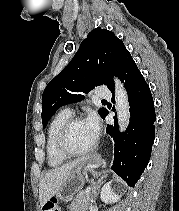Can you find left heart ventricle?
I'll list each match as a JSON object with an SVG mask.
<instances>
[{"instance_id": "1", "label": "left heart ventricle", "mask_w": 179, "mask_h": 211, "mask_svg": "<svg viewBox=\"0 0 179 211\" xmlns=\"http://www.w3.org/2000/svg\"><path fill=\"white\" fill-rule=\"evenodd\" d=\"M95 142L89 133L84 121L78 122L74 125L70 134V147L75 151H82Z\"/></svg>"}]
</instances>
